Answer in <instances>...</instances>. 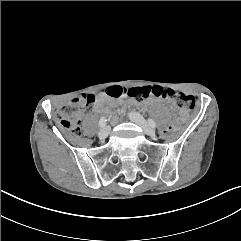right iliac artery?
I'll return each instance as SVG.
<instances>
[{
	"mask_svg": "<svg viewBox=\"0 0 241 241\" xmlns=\"http://www.w3.org/2000/svg\"><path fill=\"white\" fill-rule=\"evenodd\" d=\"M106 118L105 117H101V119L99 120V126L100 127H104L106 125Z\"/></svg>",
	"mask_w": 241,
	"mask_h": 241,
	"instance_id": "82829eb1",
	"label": "right iliac artery"
}]
</instances>
